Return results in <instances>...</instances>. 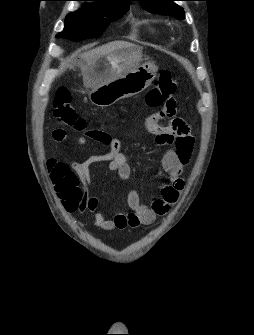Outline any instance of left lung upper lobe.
Returning <instances> with one entry per match:
<instances>
[{
  "label": "left lung upper lobe",
  "mask_w": 254,
  "mask_h": 335,
  "mask_svg": "<svg viewBox=\"0 0 254 335\" xmlns=\"http://www.w3.org/2000/svg\"><path fill=\"white\" fill-rule=\"evenodd\" d=\"M149 12L185 19L183 8L174 3L176 0H138Z\"/></svg>",
  "instance_id": "obj_1"
}]
</instances>
